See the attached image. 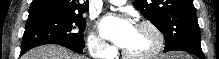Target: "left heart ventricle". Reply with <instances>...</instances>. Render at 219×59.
<instances>
[{
	"instance_id": "left-heart-ventricle-1",
	"label": "left heart ventricle",
	"mask_w": 219,
	"mask_h": 59,
	"mask_svg": "<svg viewBox=\"0 0 219 59\" xmlns=\"http://www.w3.org/2000/svg\"><path fill=\"white\" fill-rule=\"evenodd\" d=\"M154 44L155 37L149 29L135 27L134 33L124 49L131 54H142L151 50Z\"/></svg>"
}]
</instances>
